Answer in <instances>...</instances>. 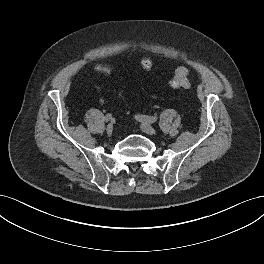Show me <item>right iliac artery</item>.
<instances>
[{"instance_id":"82829eb1","label":"right iliac artery","mask_w":264,"mask_h":264,"mask_svg":"<svg viewBox=\"0 0 264 264\" xmlns=\"http://www.w3.org/2000/svg\"><path fill=\"white\" fill-rule=\"evenodd\" d=\"M112 119V114H107L106 116H105V121H109V120H111Z\"/></svg>"}]
</instances>
